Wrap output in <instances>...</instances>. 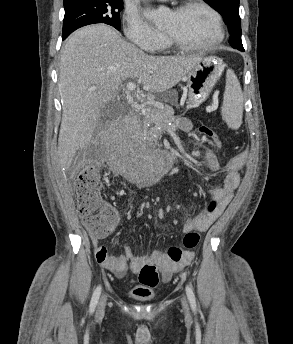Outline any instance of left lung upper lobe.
<instances>
[{
	"label": "left lung upper lobe",
	"mask_w": 293,
	"mask_h": 344,
	"mask_svg": "<svg viewBox=\"0 0 293 344\" xmlns=\"http://www.w3.org/2000/svg\"><path fill=\"white\" fill-rule=\"evenodd\" d=\"M216 9L224 18L230 33L233 48L244 50L241 40V23L239 16V0H204Z\"/></svg>",
	"instance_id": "5c2ea615"
}]
</instances>
